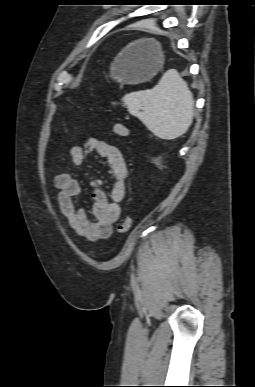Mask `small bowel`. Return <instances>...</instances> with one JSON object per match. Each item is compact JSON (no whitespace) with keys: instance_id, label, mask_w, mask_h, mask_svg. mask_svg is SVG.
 Listing matches in <instances>:
<instances>
[{"instance_id":"1","label":"small bowel","mask_w":255,"mask_h":387,"mask_svg":"<svg viewBox=\"0 0 255 387\" xmlns=\"http://www.w3.org/2000/svg\"><path fill=\"white\" fill-rule=\"evenodd\" d=\"M95 153L106 160L108 173L113 179L109 194L99 179L93 181L92 206L88 213L79 207L77 197L81 194L80 182L70 173H59L54 178L58 190L57 202L69 226L81 237L90 241L105 239L113 231V224L121 214V202L126 193L128 169L121 151L105 141L90 138L83 146H73L69 154L74 165L84 163L86 154Z\"/></svg>"}]
</instances>
